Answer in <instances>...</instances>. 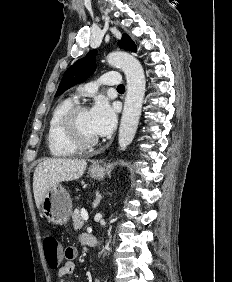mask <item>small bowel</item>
Returning a JSON list of instances; mask_svg holds the SVG:
<instances>
[{
	"label": "small bowel",
	"mask_w": 232,
	"mask_h": 282,
	"mask_svg": "<svg viewBox=\"0 0 232 282\" xmlns=\"http://www.w3.org/2000/svg\"><path fill=\"white\" fill-rule=\"evenodd\" d=\"M88 234H81L79 236V241L83 244H86ZM67 253L65 258L68 260L64 265H62L57 272V281L58 282H67L66 278L73 275L75 272V264L72 261L77 256V250L73 247L66 248ZM94 282H100L99 279H95Z\"/></svg>",
	"instance_id": "obj_1"
}]
</instances>
